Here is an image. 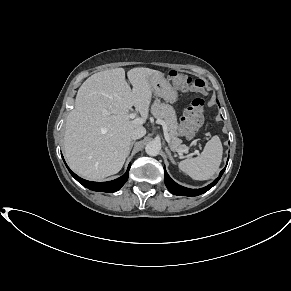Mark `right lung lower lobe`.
I'll list each match as a JSON object with an SVG mask.
<instances>
[{
  "instance_id": "98d812e1",
  "label": "right lung lower lobe",
  "mask_w": 291,
  "mask_h": 291,
  "mask_svg": "<svg viewBox=\"0 0 291 291\" xmlns=\"http://www.w3.org/2000/svg\"><path fill=\"white\" fill-rule=\"evenodd\" d=\"M63 157V156H62ZM67 166V165H66ZM130 164L128 166V169L126 171V173L115 179L112 181H108V182H92V181H87L84 180L82 178H80L79 176H77L75 173H73L67 166L69 172L71 173V175L83 186H85L86 188L93 190V191H101V192H108V193H112L115 192L117 190H119L127 181L128 179V173H129V169H130Z\"/></svg>"
}]
</instances>
